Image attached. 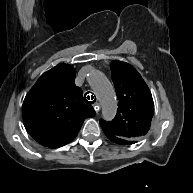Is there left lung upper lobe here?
<instances>
[{"mask_svg":"<svg viewBox=\"0 0 193 193\" xmlns=\"http://www.w3.org/2000/svg\"><path fill=\"white\" fill-rule=\"evenodd\" d=\"M112 80L119 100L117 115L100 125L115 143L133 144L150 128L154 103L152 95L138 71L122 61L111 63Z\"/></svg>","mask_w":193,"mask_h":193,"instance_id":"obj_1","label":"left lung upper lobe"}]
</instances>
